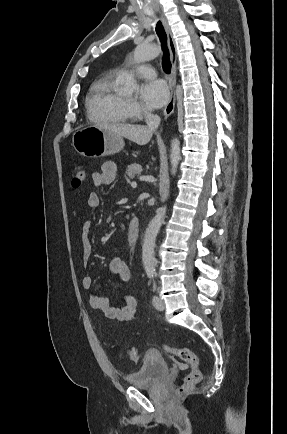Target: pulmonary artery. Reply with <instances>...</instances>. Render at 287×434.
<instances>
[{
  "mask_svg": "<svg viewBox=\"0 0 287 434\" xmlns=\"http://www.w3.org/2000/svg\"><path fill=\"white\" fill-rule=\"evenodd\" d=\"M129 69H122L120 71L121 74H127ZM138 77L142 78H154L156 76V72L150 66L141 65L132 70Z\"/></svg>",
  "mask_w": 287,
  "mask_h": 434,
  "instance_id": "e3ab8cb5",
  "label": "pulmonary artery"
}]
</instances>
